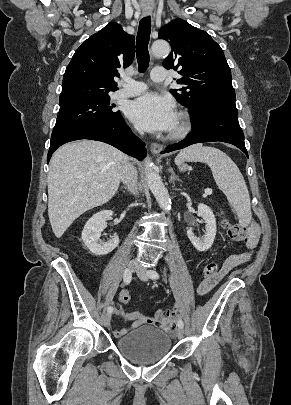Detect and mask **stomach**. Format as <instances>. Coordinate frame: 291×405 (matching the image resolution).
<instances>
[{"label": "stomach", "mask_w": 291, "mask_h": 405, "mask_svg": "<svg viewBox=\"0 0 291 405\" xmlns=\"http://www.w3.org/2000/svg\"><path fill=\"white\" fill-rule=\"evenodd\" d=\"M178 169H179L180 171H186V170H187V166H186L185 164H180V165H178Z\"/></svg>", "instance_id": "obj_1"}]
</instances>
